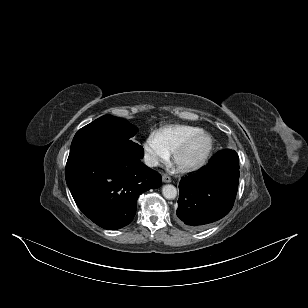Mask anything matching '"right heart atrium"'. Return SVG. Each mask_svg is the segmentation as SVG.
Returning a JSON list of instances; mask_svg holds the SVG:
<instances>
[{"instance_id":"right-heart-atrium-1","label":"right heart atrium","mask_w":308,"mask_h":308,"mask_svg":"<svg viewBox=\"0 0 308 308\" xmlns=\"http://www.w3.org/2000/svg\"><path fill=\"white\" fill-rule=\"evenodd\" d=\"M142 149L144 160L150 167L164 164L170 158V153L158 142L154 135H150L145 139Z\"/></svg>"}]
</instances>
